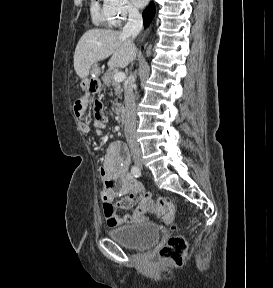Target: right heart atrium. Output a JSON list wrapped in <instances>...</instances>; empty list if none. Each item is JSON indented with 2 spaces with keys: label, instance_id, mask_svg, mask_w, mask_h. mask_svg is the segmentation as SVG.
I'll list each match as a JSON object with an SVG mask.
<instances>
[{
  "label": "right heart atrium",
  "instance_id": "right-heart-atrium-1",
  "mask_svg": "<svg viewBox=\"0 0 273 288\" xmlns=\"http://www.w3.org/2000/svg\"><path fill=\"white\" fill-rule=\"evenodd\" d=\"M111 25L119 26L138 14L130 0H103Z\"/></svg>",
  "mask_w": 273,
  "mask_h": 288
}]
</instances>
